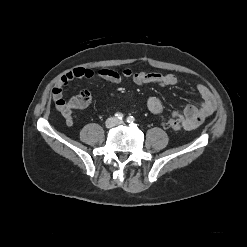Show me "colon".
<instances>
[{"label": "colon", "instance_id": "1", "mask_svg": "<svg viewBox=\"0 0 247 247\" xmlns=\"http://www.w3.org/2000/svg\"><path fill=\"white\" fill-rule=\"evenodd\" d=\"M91 101V95L87 90L81 91L71 103L75 108H82L87 106ZM164 126L168 129L179 130L182 127L181 122L178 119H168L164 122Z\"/></svg>", "mask_w": 247, "mask_h": 247}]
</instances>
